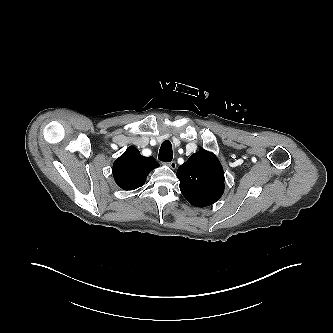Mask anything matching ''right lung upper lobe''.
<instances>
[{"label": "right lung upper lobe", "mask_w": 333, "mask_h": 333, "mask_svg": "<svg viewBox=\"0 0 333 333\" xmlns=\"http://www.w3.org/2000/svg\"><path fill=\"white\" fill-rule=\"evenodd\" d=\"M159 167L153 157H144L130 146L113 164V176L118 186L124 190H134L146 181L151 170Z\"/></svg>", "instance_id": "right-lung-upper-lobe-1"}]
</instances>
